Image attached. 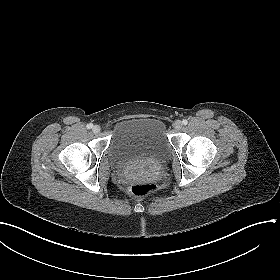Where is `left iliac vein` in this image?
<instances>
[{
	"label": "left iliac vein",
	"mask_w": 280,
	"mask_h": 280,
	"mask_svg": "<svg viewBox=\"0 0 280 280\" xmlns=\"http://www.w3.org/2000/svg\"><path fill=\"white\" fill-rule=\"evenodd\" d=\"M182 126H183V124L180 120H176L173 124V127L175 130H181Z\"/></svg>",
	"instance_id": "obj_1"
}]
</instances>
